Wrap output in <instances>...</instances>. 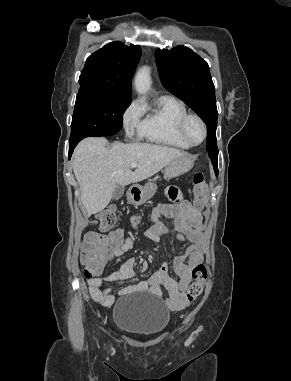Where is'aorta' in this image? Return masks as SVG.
Instances as JSON below:
<instances>
[{
  "mask_svg": "<svg viewBox=\"0 0 291 381\" xmlns=\"http://www.w3.org/2000/svg\"><path fill=\"white\" fill-rule=\"evenodd\" d=\"M151 86L150 68L142 67L135 76V89L136 91L144 95L148 92Z\"/></svg>",
  "mask_w": 291,
  "mask_h": 381,
  "instance_id": "obj_1",
  "label": "aorta"
}]
</instances>
